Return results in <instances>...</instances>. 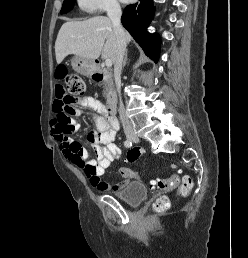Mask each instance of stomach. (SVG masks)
<instances>
[{"label": "stomach", "mask_w": 248, "mask_h": 258, "mask_svg": "<svg viewBox=\"0 0 248 258\" xmlns=\"http://www.w3.org/2000/svg\"><path fill=\"white\" fill-rule=\"evenodd\" d=\"M73 69L84 76L91 77L95 73V63L83 57L74 56L71 60Z\"/></svg>", "instance_id": "0dacf381"}]
</instances>
